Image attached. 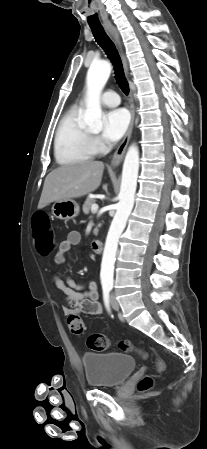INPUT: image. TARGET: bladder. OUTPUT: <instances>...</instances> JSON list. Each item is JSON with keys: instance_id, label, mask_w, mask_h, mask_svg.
I'll use <instances>...</instances> for the list:
<instances>
[{"instance_id": "31cf9c89", "label": "bladder", "mask_w": 207, "mask_h": 449, "mask_svg": "<svg viewBox=\"0 0 207 449\" xmlns=\"http://www.w3.org/2000/svg\"><path fill=\"white\" fill-rule=\"evenodd\" d=\"M88 385L93 387H115L122 384L135 370L132 356L119 353H91L82 357Z\"/></svg>"}]
</instances>
